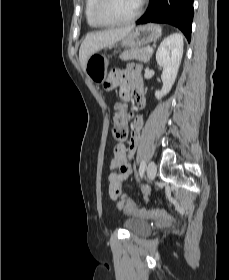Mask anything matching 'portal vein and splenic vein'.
<instances>
[{
  "instance_id": "18ae733b",
  "label": "portal vein and splenic vein",
  "mask_w": 229,
  "mask_h": 280,
  "mask_svg": "<svg viewBox=\"0 0 229 280\" xmlns=\"http://www.w3.org/2000/svg\"><path fill=\"white\" fill-rule=\"evenodd\" d=\"M147 52L153 53V49L152 48H146Z\"/></svg>"
}]
</instances>
